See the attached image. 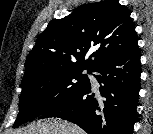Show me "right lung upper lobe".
Masks as SVG:
<instances>
[{
	"instance_id": "cb5924a9",
	"label": "right lung upper lobe",
	"mask_w": 153,
	"mask_h": 134,
	"mask_svg": "<svg viewBox=\"0 0 153 134\" xmlns=\"http://www.w3.org/2000/svg\"><path fill=\"white\" fill-rule=\"evenodd\" d=\"M138 42L129 11L116 0L84 4L52 20L36 40L26 60L24 79L60 67L93 70L110 56ZM96 49L88 59L85 55Z\"/></svg>"
}]
</instances>
